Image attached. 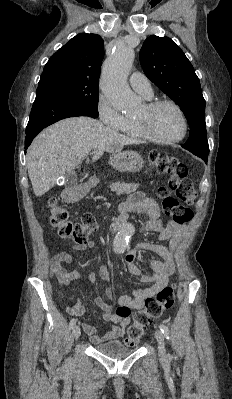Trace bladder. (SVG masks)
<instances>
[{"mask_svg":"<svg viewBox=\"0 0 232 399\" xmlns=\"http://www.w3.org/2000/svg\"><path fill=\"white\" fill-rule=\"evenodd\" d=\"M95 350L104 356L118 359L129 356L134 352V349L124 345L119 340H112L98 344L95 346Z\"/></svg>","mask_w":232,"mask_h":399,"instance_id":"1","label":"bladder"}]
</instances>
